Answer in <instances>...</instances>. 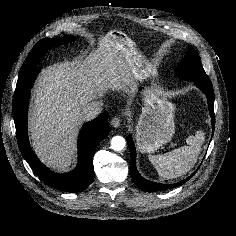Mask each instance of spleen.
Here are the masks:
<instances>
[{
  "label": "spleen",
  "instance_id": "spleen-1",
  "mask_svg": "<svg viewBox=\"0 0 236 236\" xmlns=\"http://www.w3.org/2000/svg\"><path fill=\"white\" fill-rule=\"evenodd\" d=\"M205 140L204 132L199 130L195 136L187 138V146L174 149L164 155H149L158 174L165 179L180 177L190 171L197 162Z\"/></svg>",
  "mask_w": 236,
  "mask_h": 236
}]
</instances>
